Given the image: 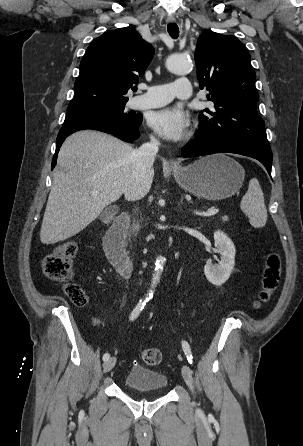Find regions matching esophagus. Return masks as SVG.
Instances as JSON below:
<instances>
[{
	"label": "esophagus",
	"instance_id": "34e87169",
	"mask_svg": "<svg viewBox=\"0 0 303 446\" xmlns=\"http://www.w3.org/2000/svg\"><path fill=\"white\" fill-rule=\"evenodd\" d=\"M176 22V19L175 18H173V17H170V18H167V23H175ZM169 164L171 165V166H177L178 165V162L176 161V160H174V159H170L169 160Z\"/></svg>",
	"mask_w": 303,
	"mask_h": 446
}]
</instances>
